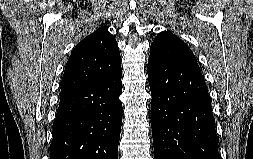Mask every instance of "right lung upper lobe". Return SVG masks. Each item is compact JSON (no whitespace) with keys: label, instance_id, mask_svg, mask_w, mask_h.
Here are the masks:
<instances>
[{"label":"right lung upper lobe","instance_id":"right-lung-upper-lobe-1","mask_svg":"<svg viewBox=\"0 0 253 159\" xmlns=\"http://www.w3.org/2000/svg\"><path fill=\"white\" fill-rule=\"evenodd\" d=\"M120 68V52L117 42L108 32V28L101 26L73 49L62 78L60 98Z\"/></svg>","mask_w":253,"mask_h":159}]
</instances>
